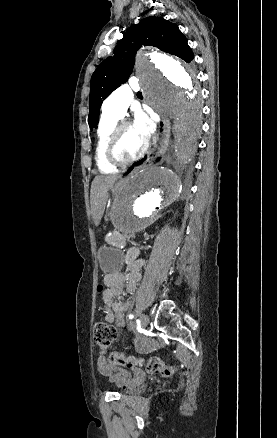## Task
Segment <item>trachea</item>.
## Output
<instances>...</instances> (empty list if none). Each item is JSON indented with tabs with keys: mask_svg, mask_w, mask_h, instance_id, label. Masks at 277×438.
<instances>
[{
	"mask_svg": "<svg viewBox=\"0 0 277 438\" xmlns=\"http://www.w3.org/2000/svg\"><path fill=\"white\" fill-rule=\"evenodd\" d=\"M138 95H141V92H138Z\"/></svg>",
	"mask_w": 277,
	"mask_h": 438,
	"instance_id": "obj_1",
	"label": "trachea"
}]
</instances>
